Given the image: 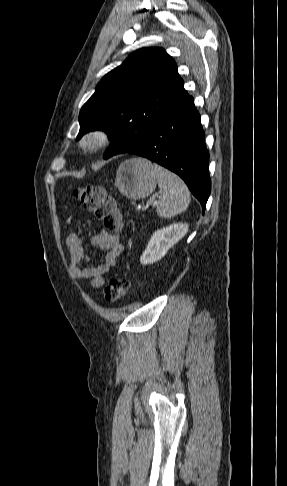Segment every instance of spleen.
<instances>
[{"mask_svg": "<svg viewBox=\"0 0 287 486\" xmlns=\"http://www.w3.org/2000/svg\"><path fill=\"white\" fill-rule=\"evenodd\" d=\"M161 198L157 205V215L172 218L184 212L190 203V193L184 181L171 171L155 164Z\"/></svg>", "mask_w": 287, "mask_h": 486, "instance_id": "3e777b00", "label": "spleen"}]
</instances>
